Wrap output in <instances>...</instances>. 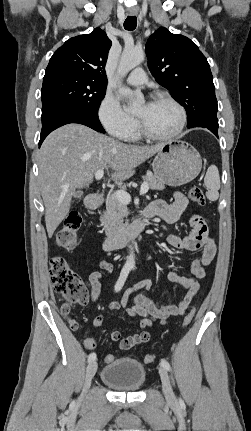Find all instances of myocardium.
Returning a JSON list of instances; mask_svg holds the SVG:
<instances>
[{
    "label": "myocardium",
    "instance_id": "myocardium-1",
    "mask_svg": "<svg viewBox=\"0 0 251 431\" xmlns=\"http://www.w3.org/2000/svg\"><path fill=\"white\" fill-rule=\"evenodd\" d=\"M152 101H166L172 104L179 112V116H180L179 123L172 132L161 135V134H155L149 131L145 127L141 119L137 117V126H138L139 133L145 138H148L151 140H158V141H167V140L176 138L178 135L181 134V132L183 131L187 123V113L184 106L179 101H177L174 97L165 93H158L154 95L152 98Z\"/></svg>",
    "mask_w": 251,
    "mask_h": 431
}]
</instances>
